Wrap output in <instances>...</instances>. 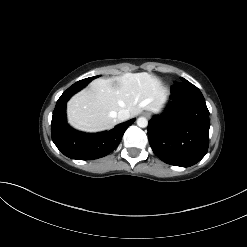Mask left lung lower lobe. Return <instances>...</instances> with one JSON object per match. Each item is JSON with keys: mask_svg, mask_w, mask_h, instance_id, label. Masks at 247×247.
Segmentation results:
<instances>
[{"mask_svg": "<svg viewBox=\"0 0 247 247\" xmlns=\"http://www.w3.org/2000/svg\"><path fill=\"white\" fill-rule=\"evenodd\" d=\"M170 100L165 112L149 121V143L162 161L189 167L207 153L209 111L201 91L188 81L171 87Z\"/></svg>", "mask_w": 247, "mask_h": 247, "instance_id": "1", "label": "left lung lower lobe"}]
</instances>
